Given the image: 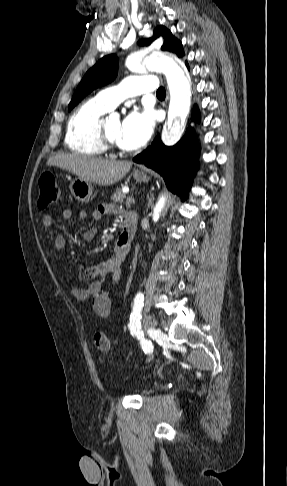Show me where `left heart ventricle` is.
Segmentation results:
<instances>
[{
	"mask_svg": "<svg viewBox=\"0 0 287 486\" xmlns=\"http://www.w3.org/2000/svg\"><path fill=\"white\" fill-rule=\"evenodd\" d=\"M106 131L109 135V137L117 143L119 146H121V122L119 120H113L108 122L105 125ZM122 147V146H121Z\"/></svg>",
	"mask_w": 287,
	"mask_h": 486,
	"instance_id": "left-heart-ventricle-1",
	"label": "left heart ventricle"
}]
</instances>
